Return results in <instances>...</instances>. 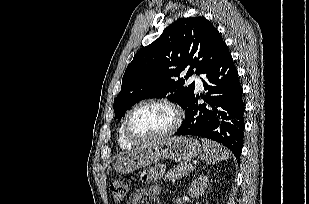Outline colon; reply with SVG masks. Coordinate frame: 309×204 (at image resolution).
<instances>
[{"mask_svg":"<svg viewBox=\"0 0 309 204\" xmlns=\"http://www.w3.org/2000/svg\"><path fill=\"white\" fill-rule=\"evenodd\" d=\"M110 191L114 200L120 203L126 198L128 192V184L124 180L115 179L110 184Z\"/></svg>","mask_w":309,"mask_h":204,"instance_id":"5ec220e1","label":"colon"}]
</instances>
